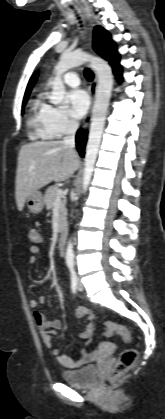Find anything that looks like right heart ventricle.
<instances>
[{"instance_id": "e07e8e85", "label": "right heart ventricle", "mask_w": 165, "mask_h": 419, "mask_svg": "<svg viewBox=\"0 0 165 419\" xmlns=\"http://www.w3.org/2000/svg\"><path fill=\"white\" fill-rule=\"evenodd\" d=\"M49 108L43 93H37L30 104L28 117V128L33 139L48 140L54 137L48 121Z\"/></svg>"}]
</instances>
